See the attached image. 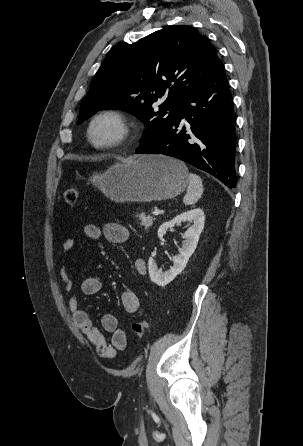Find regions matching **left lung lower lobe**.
Here are the masks:
<instances>
[{
    "mask_svg": "<svg viewBox=\"0 0 303 446\" xmlns=\"http://www.w3.org/2000/svg\"><path fill=\"white\" fill-rule=\"evenodd\" d=\"M189 123L180 128L181 119ZM235 120L223 63L212 69L174 107L160 135L136 150L164 154L204 170L227 187L237 184Z\"/></svg>",
    "mask_w": 303,
    "mask_h": 446,
    "instance_id": "0a47b994",
    "label": "left lung lower lobe"
}]
</instances>
